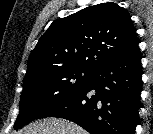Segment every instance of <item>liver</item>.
I'll use <instances>...</instances> for the list:
<instances>
[{
    "label": "liver",
    "mask_w": 153,
    "mask_h": 134,
    "mask_svg": "<svg viewBox=\"0 0 153 134\" xmlns=\"http://www.w3.org/2000/svg\"><path fill=\"white\" fill-rule=\"evenodd\" d=\"M17 134H87L78 125L68 120L48 118L27 126Z\"/></svg>",
    "instance_id": "liver-1"
}]
</instances>
